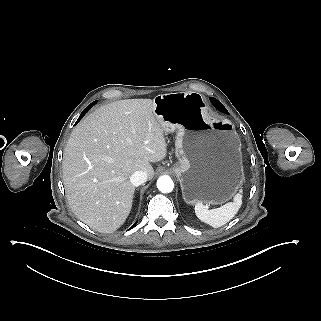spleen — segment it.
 Here are the masks:
<instances>
[{
    "mask_svg": "<svg viewBox=\"0 0 321 321\" xmlns=\"http://www.w3.org/2000/svg\"><path fill=\"white\" fill-rule=\"evenodd\" d=\"M242 193L243 190L240 189L233 198V202H228L223 206L216 209H207L202 202H197L195 205V214L199 220L212 226L213 228H218L226 223H228L239 211L242 205Z\"/></svg>",
    "mask_w": 321,
    "mask_h": 321,
    "instance_id": "3e777b00",
    "label": "spleen"
}]
</instances>
